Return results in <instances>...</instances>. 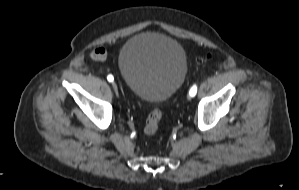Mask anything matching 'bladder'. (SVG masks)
<instances>
[{"instance_id": "obj_1", "label": "bladder", "mask_w": 299, "mask_h": 190, "mask_svg": "<svg viewBox=\"0 0 299 190\" xmlns=\"http://www.w3.org/2000/svg\"><path fill=\"white\" fill-rule=\"evenodd\" d=\"M118 66L130 90L149 102L169 99L187 73L182 45L170 37L150 32L136 34L126 41Z\"/></svg>"}]
</instances>
